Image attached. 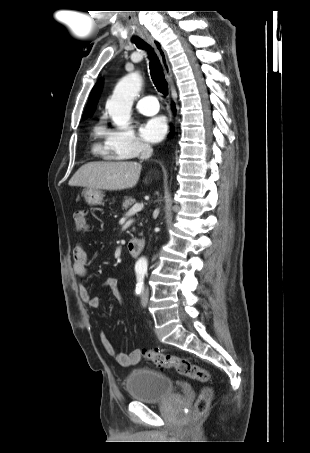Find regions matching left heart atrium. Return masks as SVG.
Segmentation results:
<instances>
[{
  "instance_id": "left-heart-atrium-1",
  "label": "left heart atrium",
  "mask_w": 310,
  "mask_h": 453,
  "mask_svg": "<svg viewBox=\"0 0 310 453\" xmlns=\"http://www.w3.org/2000/svg\"><path fill=\"white\" fill-rule=\"evenodd\" d=\"M167 132V122L164 117L158 116L148 119L142 124L140 134L148 142L160 141Z\"/></svg>"
}]
</instances>
